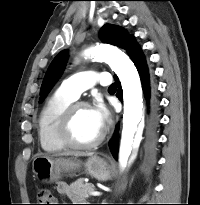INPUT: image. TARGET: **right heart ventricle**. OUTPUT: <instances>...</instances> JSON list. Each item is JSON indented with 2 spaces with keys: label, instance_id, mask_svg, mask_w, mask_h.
Returning a JSON list of instances; mask_svg holds the SVG:
<instances>
[{
  "label": "right heart ventricle",
  "instance_id": "obj_1",
  "mask_svg": "<svg viewBox=\"0 0 200 205\" xmlns=\"http://www.w3.org/2000/svg\"><path fill=\"white\" fill-rule=\"evenodd\" d=\"M74 98L58 89L44 104L38 118V137L46 152H58L66 148L58 136V124L65 109Z\"/></svg>",
  "mask_w": 200,
  "mask_h": 205
}]
</instances>
